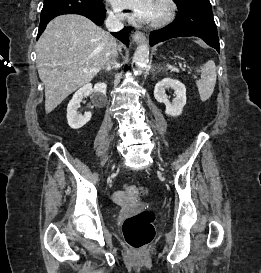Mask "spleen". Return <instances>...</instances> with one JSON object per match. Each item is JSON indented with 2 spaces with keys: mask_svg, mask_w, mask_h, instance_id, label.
Listing matches in <instances>:
<instances>
[{
  "mask_svg": "<svg viewBox=\"0 0 261 273\" xmlns=\"http://www.w3.org/2000/svg\"><path fill=\"white\" fill-rule=\"evenodd\" d=\"M172 71L179 72V70L171 65H167ZM201 75V80L196 81L199 96L201 101L208 100L213 94L217 79V71L214 61L209 60L198 70Z\"/></svg>",
  "mask_w": 261,
  "mask_h": 273,
  "instance_id": "1",
  "label": "spleen"
}]
</instances>
